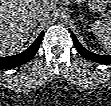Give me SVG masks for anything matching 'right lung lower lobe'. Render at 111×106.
<instances>
[{
  "label": "right lung lower lobe",
  "instance_id": "1",
  "mask_svg": "<svg viewBox=\"0 0 111 106\" xmlns=\"http://www.w3.org/2000/svg\"><path fill=\"white\" fill-rule=\"evenodd\" d=\"M43 35L44 31H42L34 43L22 53L13 56L0 57V69L15 68L32 59L39 49Z\"/></svg>",
  "mask_w": 111,
  "mask_h": 106
}]
</instances>
